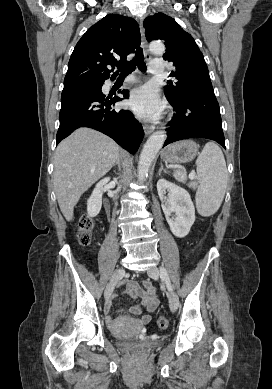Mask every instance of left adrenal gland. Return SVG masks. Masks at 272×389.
<instances>
[{"mask_svg":"<svg viewBox=\"0 0 272 389\" xmlns=\"http://www.w3.org/2000/svg\"><path fill=\"white\" fill-rule=\"evenodd\" d=\"M164 171L165 173L167 172L166 169L163 168V164H160V169L158 171V175H161V172Z\"/></svg>","mask_w":272,"mask_h":389,"instance_id":"left-adrenal-gland-1","label":"left adrenal gland"}]
</instances>
